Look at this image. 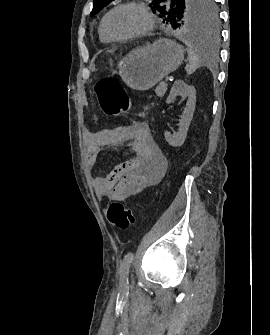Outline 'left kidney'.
Masks as SVG:
<instances>
[{
    "label": "left kidney",
    "mask_w": 270,
    "mask_h": 335,
    "mask_svg": "<svg viewBox=\"0 0 270 335\" xmlns=\"http://www.w3.org/2000/svg\"><path fill=\"white\" fill-rule=\"evenodd\" d=\"M176 96H188V100L186 108H184L183 116H181V120L179 122V132H176L173 136L170 132H164L166 142H168L170 146H174V148L183 146L186 140L188 128L195 110L196 90L194 86H188V84H185L183 80H176L173 84V88H171L166 104H171V102L175 100Z\"/></svg>",
    "instance_id": "1"
}]
</instances>
